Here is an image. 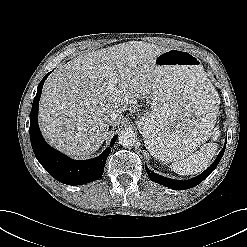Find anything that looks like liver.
Here are the masks:
<instances>
[{
    "label": "liver",
    "instance_id": "6515ba94",
    "mask_svg": "<svg viewBox=\"0 0 247 247\" xmlns=\"http://www.w3.org/2000/svg\"><path fill=\"white\" fill-rule=\"evenodd\" d=\"M166 50L130 41L83 53L60 65L45 82L39 106L40 129L49 144L76 159L89 158L105 140L109 116L121 117L150 94L154 62ZM112 79L116 89L109 92Z\"/></svg>",
    "mask_w": 247,
    "mask_h": 247
}]
</instances>
